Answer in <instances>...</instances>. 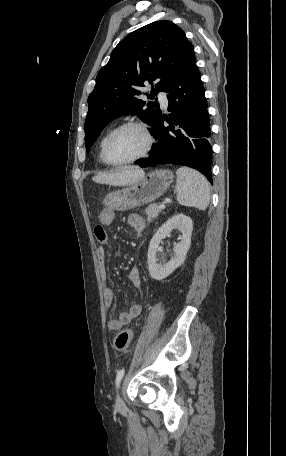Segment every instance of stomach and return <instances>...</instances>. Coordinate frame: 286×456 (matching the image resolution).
<instances>
[{"instance_id":"obj_1","label":"stomach","mask_w":286,"mask_h":456,"mask_svg":"<svg viewBox=\"0 0 286 456\" xmlns=\"http://www.w3.org/2000/svg\"><path fill=\"white\" fill-rule=\"evenodd\" d=\"M172 181L173 173L171 171L154 170L129 187L109 193L103 203L116 211L133 209L159 198L167 191Z\"/></svg>"}]
</instances>
